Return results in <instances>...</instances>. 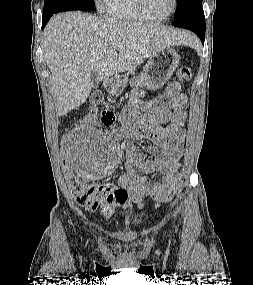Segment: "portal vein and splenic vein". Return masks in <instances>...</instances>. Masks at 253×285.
<instances>
[{
	"label": "portal vein and splenic vein",
	"instance_id": "18ae733b",
	"mask_svg": "<svg viewBox=\"0 0 253 285\" xmlns=\"http://www.w3.org/2000/svg\"><path fill=\"white\" fill-rule=\"evenodd\" d=\"M118 48H119V49H123V46H122V45H119Z\"/></svg>",
	"mask_w": 253,
	"mask_h": 285
}]
</instances>
